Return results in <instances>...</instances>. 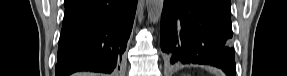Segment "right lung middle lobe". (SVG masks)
I'll return each instance as SVG.
<instances>
[{
    "instance_id": "dd1d6c3e",
    "label": "right lung middle lobe",
    "mask_w": 287,
    "mask_h": 76,
    "mask_svg": "<svg viewBox=\"0 0 287 76\" xmlns=\"http://www.w3.org/2000/svg\"><path fill=\"white\" fill-rule=\"evenodd\" d=\"M72 3L68 2V1H65V7H68L70 6Z\"/></svg>"
}]
</instances>
